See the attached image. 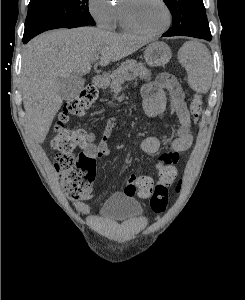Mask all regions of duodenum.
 <instances>
[{
	"mask_svg": "<svg viewBox=\"0 0 245 300\" xmlns=\"http://www.w3.org/2000/svg\"><path fill=\"white\" fill-rule=\"evenodd\" d=\"M93 83L98 88H104L107 85V77L104 74H96L93 77Z\"/></svg>",
	"mask_w": 245,
	"mask_h": 300,
	"instance_id": "duodenum-1",
	"label": "duodenum"
}]
</instances>
